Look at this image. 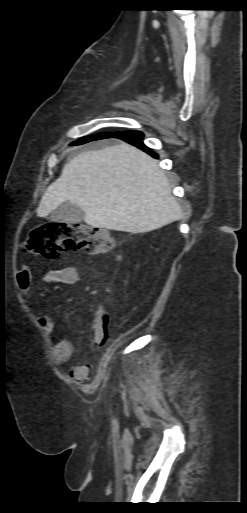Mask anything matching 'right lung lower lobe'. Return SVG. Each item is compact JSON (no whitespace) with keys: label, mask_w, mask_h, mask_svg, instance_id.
Wrapping results in <instances>:
<instances>
[{"label":"right lung lower lobe","mask_w":247,"mask_h":513,"mask_svg":"<svg viewBox=\"0 0 247 513\" xmlns=\"http://www.w3.org/2000/svg\"><path fill=\"white\" fill-rule=\"evenodd\" d=\"M111 137L122 139V140L142 149L143 151L147 152L151 156L158 158V155L155 152H153L150 148H148L147 146L144 145V143L142 141L143 134L141 132L126 131V132H121V133L114 134V135H109L106 138H111ZM80 143H82V142L77 141L74 144L79 145Z\"/></svg>","instance_id":"1"}]
</instances>
